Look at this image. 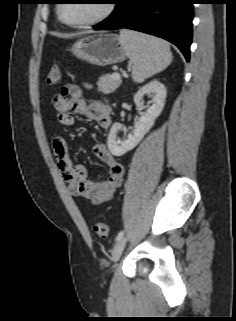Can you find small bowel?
<instances>
[{"instance_id":"obj_1","label":"small bowel","mask_w":236,"mask_h":321,"mask_svg":"<svg viewBox=\"0 0 236 321\" xmlns=\"http://www.w3.org/2000/svg\"><path fill=\"white\" fill-rule=\"evenodd\" d=\"M91 89L89 84H84ZM57 120L64 126H74L76 119L71 114L75 112L90 120L96 121L102 129L111 125L110 111L104 101H86L79 85L68 84L61 94L52 99ZM52 147L57 159L58 168L69 183L71 193L77 197L91 200L94 204H102L112 198L121 186L124 166L113 156L104 144H96L93 152L96 157L107 165L108 176L103 181H93L87 178V169L83 164H74L70 158L66 141L61 136H55Z\"/></svg>"}]
</instances>
